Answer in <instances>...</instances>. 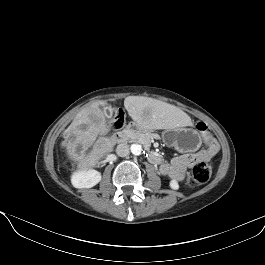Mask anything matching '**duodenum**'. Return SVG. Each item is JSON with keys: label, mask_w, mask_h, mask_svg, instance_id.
Masks as SVG:
<instances>
[{"label": "duodenum", "mask_w": 265, "mask_h": 265, "mask_svg": "<svg viewBox=\"0 0 265 265\" xmlns=\"http://www.w3.org/2000/svg\"><path fill=\"white\" fill-rule=\"evenodd\" d=\"M125 136L126 133L124 131L116 132L112 135V141L118 143L122 141L125 138ZM149 160L156 165H160L163 162L162 158L154 153L149 154Z\"/></svg>", "instance_id": "1"}]
</instances>
